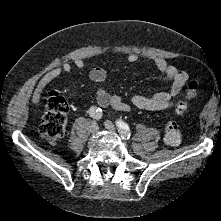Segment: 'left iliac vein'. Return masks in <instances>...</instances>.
Instances as JSON below:
<instances>
[{
    "instance_id": "1",
    "label": "left iliac vein",
    "mask_w": 221,
    "mask_h": 221,
    "mask_svg": "<svg viewBox=\"0 0 221 221\" xmlns=\"http://www.w3.org/2000/svg\"><path fill=\"white\" fill-rule=\"evenodd\" d=\"M105 127L109 130V131H112V132H115L116 131V127L114 126V124L112 122H110L109 120H106L105 121Z\"/></svg>"
}]
</instances>
